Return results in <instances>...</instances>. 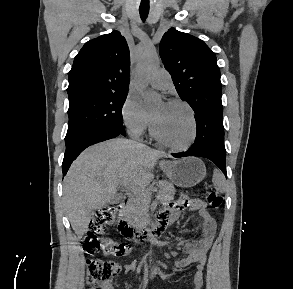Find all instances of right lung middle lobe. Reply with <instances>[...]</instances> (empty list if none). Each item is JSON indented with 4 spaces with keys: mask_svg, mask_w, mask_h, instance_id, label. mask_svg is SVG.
I'll return each mask as SVG.
<instances>
[{
    "mask_svg": "<svg viewBox=\"0 0 293 289\" xmlns=\"http://www.w3.org/2000/svg\"><path fill=\"white\" fill-rule=\"evenodd\" d=\"M127 93L85 96L69 101L65 142L91 129L123 125L122 107Z\"/></svg>",
    "mask_w": 293,
    "mask_h": 289,
    "instance_id": "obj_1",
    "label": "right lung middle lobe"
}]
</instances>
